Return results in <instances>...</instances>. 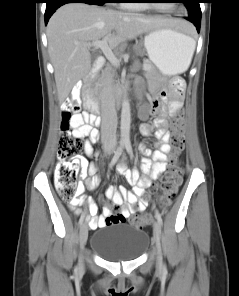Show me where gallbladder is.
Wrapping results in <instances>:
<instances>
[{
  "instance_id": "gallbladder-1",
  "label": "gallbladder",
  "mask_w": 239,
  "mask_h": 296,
  "mask_svg": "<svg viewBox=\"0 0 239 296\" xmlns=\"http://www.w3.org/2000/svg\"><path fill=\"white\" fill-rule=\"evenodd\" d=\"M96 59V55L95 54H91V61L93 62Z\"/></svg>"
}]
</instances>
